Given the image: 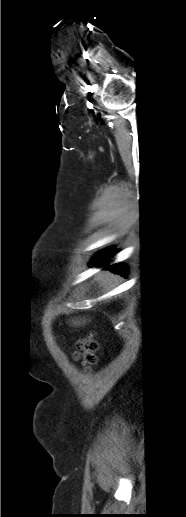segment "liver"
<instances>
[{
	"label": "liver",
	"instance_id": "1",
	"mask_svg": "<svg viewBox=\"0 0 186 517\" xmlns=\"http://www.w3.org/2000/svg\"><path fill=\"white\" fill-rule=\"evenodd\" d=\"M111 277H112V275H111V274H109V273H107V272H105V273H103V274H100V275H99V279L102 281V283H103V284H106V283H108V282H111ZM73 325H75V326H80V325H81V322H79V321H73Z\"/></svg>",
	"mask_w": 186,
	"mask_h": 517
}]
</instances>
